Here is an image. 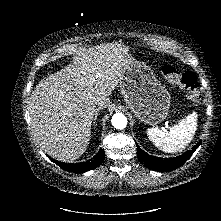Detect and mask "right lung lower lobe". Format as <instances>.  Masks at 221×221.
Masks as SVG:
<instances>
[{"label": "right lung lower lobe", "mask_w": 221, "mask_h": 221, "mask_svg": "<svg viewBox=\"0 0 221 221\" xmlns=\"http://www.w3.org/2000/svg\"><path fill=\"white\" fill-rule=\"evenodd\" d=\"M104 150L100 149L99 152L90 160L82 163H76V164H66L62 162H56L55 160L51 159L53 162L57 163L59 167L62 169L74 172V173H83L89 170H92L98 166H100L104 160Z\"/></svg>", "instance_id": "98d812e1"}]
</instances>
